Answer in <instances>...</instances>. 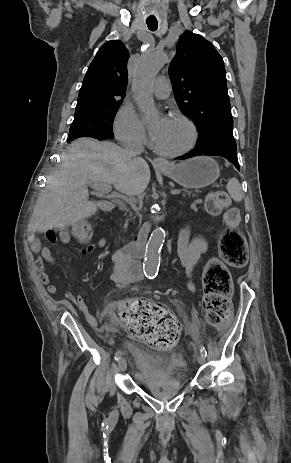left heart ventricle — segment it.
<instances>
[{"label":"left heart ventricle","mask_w":291,"mask_h":463,"mask_svg":"<svg viewBox=\"0 0 291 463\" xmlns=\"http://www.w3.org/2000/svg\"><path fill=\"white\" fill-rule=\"evenodd\" d=\"M187 128L178 120L172 121L166 131L155 143L156 147L163 151H174L184 146L188 140Z\"/></svg>","instance_id":"obj_1"}]
</instances>
